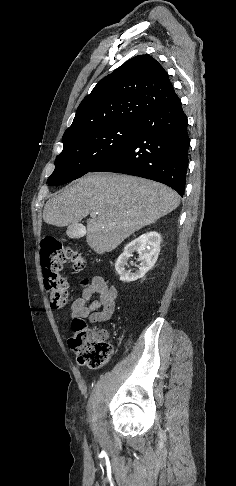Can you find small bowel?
Segmentation results:
<instances>
[{
  "label": "small bowel",
  "instance_id": "c3829d8e",
  "mask_svg": "<svg viewBox=\"0 0 236 486\" xmlns=\"http://www.w3.org/2000/svg\"><path fill=\"white\" fill-rule=\"evenodd\" d=\"M117 290L110 282L100 275H94L91 283L86 285L81 297L71 304V317L88 318L91 324L109 320L116 306ZM101 337L108 338V331H98Z\"/></svg>",
  "mask_w": 236,
  "mask_h": 486
}]
</instances>
